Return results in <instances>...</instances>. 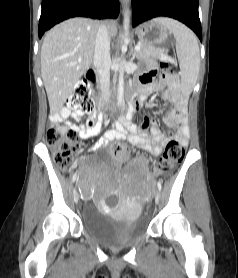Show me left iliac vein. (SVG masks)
<instances>
[{
	"instance_id": "left-iliac-vein-1",
	"label": "left iliac vein",
	"mask_w": 238,
	"mask_h": 278,
	"mask_svg": "<svg viewBox=\"0 0 238 278\" xmlns=\"http://www.w3.org/2000/svg\"><path fill=\"white\" fill-rule=\"evenodd\" d=\"M159 200H160V193H159V191H156L155 192V202L158 203Z\"/></svg>"
}]
</instances>
